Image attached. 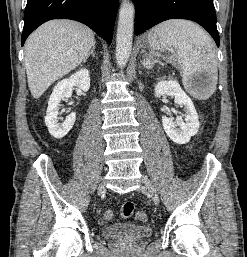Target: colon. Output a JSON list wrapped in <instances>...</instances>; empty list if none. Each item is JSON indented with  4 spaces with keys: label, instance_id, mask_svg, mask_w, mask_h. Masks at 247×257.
I'll use <instances>...</instances> for the list:
<instances>
[{
    "label": "colon",
    "instance_id": "colon-1",
    "mask_svg": "<svg viewBox=\"0 0 247 257\" xmlns=\"http://www.w3.org/2000/svg\"><path fill=\"white\" fill-rule=\"evenodd\" d=\"M135 211V204L132 201H126L122 204L121 210H120V215L124 219H128L132 217ZM103 218L106 221H110L113 218V212L112 210H105L103 213ZM137 218L141 221H145L147 216L144 212H139L137 214Z\"/></svg>",
    "mask_w": 247,
    "mask_h": 257
}]
</instances>
